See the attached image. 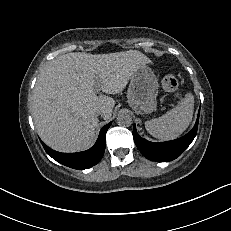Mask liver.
I'll use <instances>...</instances> for the list:
<instances>
[{
	"label": "liver",
	"mask_w": 231,
	"mask_h": 231,
	"mask_svg": "<svg viewBox=\"0 0 231 231\" xmlns=\"http://www.w3.org/2000/svg\"><path fill=\"white\" fill-rule=\"evenodd\" d=\"M151 63L137 50L109 54L73 52L59 55L41 71L32 95V116L40 138L60 152H78L95 142L96 111L112 116L115 100L132 74Z\"/></svg>",
	"instance_id": "1"
}]
</instances>
